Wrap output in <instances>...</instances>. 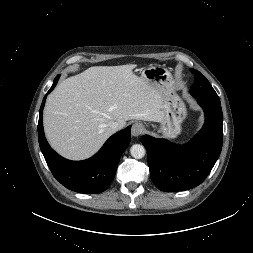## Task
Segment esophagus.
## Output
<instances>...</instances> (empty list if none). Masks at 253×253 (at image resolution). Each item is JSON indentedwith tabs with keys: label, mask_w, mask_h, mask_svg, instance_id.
Wrapping results in <instances>:
<instances>
[{
	"label": "esophagus",
	"mask_w": 253,
	"mask_h": 253,
	"mask_svg": "<svg viewBox=\"0 0 253 253\" xmlns=\"http://www.w3.org/2000/svg\"><path fill=\"white\" fill-rule=\"evenodd\" d=\"M144 131V126L142 123L136 122L132 125L131 134L134 137L140 136Z\"/></svg>",
	"instance_id": "esophagus-1"
}]
</instances>
